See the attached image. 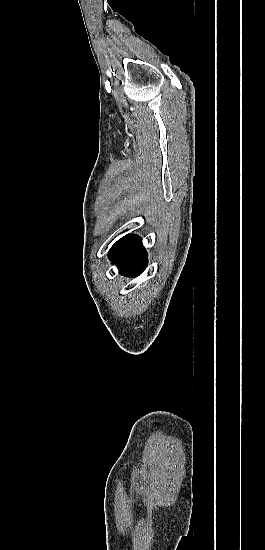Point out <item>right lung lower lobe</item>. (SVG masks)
I'll return each instance as SVG.
<instances>
[{"label":"right lung lower lobe","mask_w":265,"mask_h":550,"mask_svg":"<svg viewBox=\"0 0 265 550\" xmlns=\"http://www.w3.org/2000/svg\"><path fill=\"white\" fill-rule=\"evenodd\" d=\"M112 264L124 275H139L147 265V254L141 238L129 235L115 250L110 252Z\"/></svg>","instance_id":"1"}]
</instances>
